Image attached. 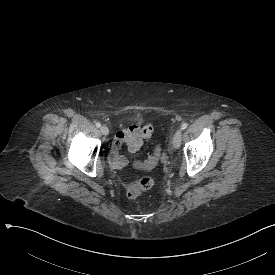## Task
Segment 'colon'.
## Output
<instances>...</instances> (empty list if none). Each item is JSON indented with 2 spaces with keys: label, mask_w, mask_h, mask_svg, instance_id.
Here are the masks:
<instances>
[{
  "label": "colon",
  "mask_w": 275,
  "mask_h": 275,
  "mask_svg": "<svg viewBox=\"0 0 275 275\" xmlns=\"http://www.w3.org/2000/svg\"><path fill=\"white\" fill-rule=\"evenodd\" d=\"M163 142L155 141L153 145V150L150 151V156L148 160H136L135 168L136 169H152L153 166H156L159 161V155L163 153ZM153 179L149 175L142 176L136 183L130 184L126 189V195L128 198H137L143 192L149 190L153 186Z\"/></svg>",
  "instance_id": "1"
}]
</instances>
